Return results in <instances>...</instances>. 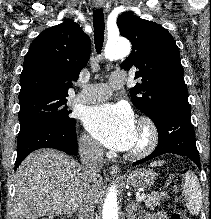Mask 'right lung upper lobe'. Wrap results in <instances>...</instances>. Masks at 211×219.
<instances>
[{"mask_svg":"<svg viewBox=\"0 0 211 219\" xmlns=\"http://www.w3.org/2000/svg\"><path fill=\"white\" fill-rule=\"evenodd\" d=\"M91 41L67 20L39 34L31 43L20 75L19 102L37 97H67L72 81L90 56Z\"/></svg>","mask_w":211,"mask_h":219,"instance_id":"right-lung-upper-lobe-1","label":"right lung upper lobe"}]
</instances>
